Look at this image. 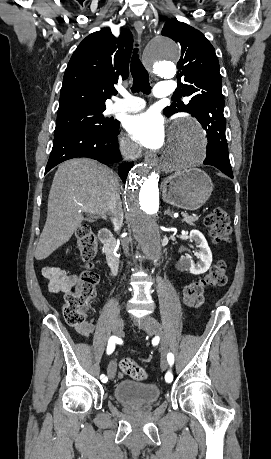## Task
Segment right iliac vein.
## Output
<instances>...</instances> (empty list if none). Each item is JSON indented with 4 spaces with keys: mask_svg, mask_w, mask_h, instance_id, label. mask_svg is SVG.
<instances>
[{
    "mask_svg": "<svg viewBox=\"0 0 271 459\" xmlns=\"http://www.w3.org/2000/svg\"><path fill=\"white\" fill-rule=\"evenodd\" d=\"M124 328V321L120 318V316L114 321L113 330L114 333L118 336H121V333ZM117 366L115 361L109 363L107 368V375L109 379H113L116 375Z\"/></svg>",
    "mask_w": 271,
    "mask_h": 459,
    "instance_id": "63e3f726",
    "label": "right iliac vein"
}]
</instances>
